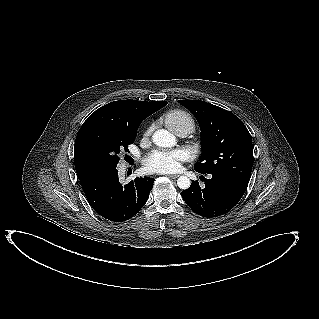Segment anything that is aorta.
Instances as JSON below:
<instances>
[{
	"instance_id": "1",
	"label": "aorta",
	"mask_w": 319,
	"mask_h": 319,
	"mask_svg": "<svg viewBox=\"0 0 319 319\" xmlns=\"http://www.w3.org/2000/svg\"><path fill=\"white\" fill-rule=\"evenodd\" d=\"M153 142L159 147H172L176 144V139L173 134L167 130H157L152 136ZM177 185L180 189H188L191 185L190 179L187 176H180L177 180Z\"/></svg>"
}]
</instances>
